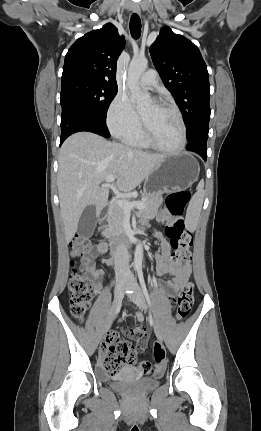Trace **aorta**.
Segmentation results:
<instances>
[{
	"instance_id": "aorta-1",
	"label": "aorta",
	"mask_w": 261,
	"mask_h": 431,
	"mask_svg": "<svg viewBox=\"0 0 261 431\" xmlns=\"http://www.w3.org/2000/svg\"><path fill=\"white\" fill-rule=\"evenodd\" d=\"M148 67L146 58H133L128 68L127 84L131 92V101L136 107H142L150 103V94L140 87L139 79L142 73ZM143 259V249L141 243H138L135 250L134 262L141 265Z\"/></svg>"
}]
</instances>
